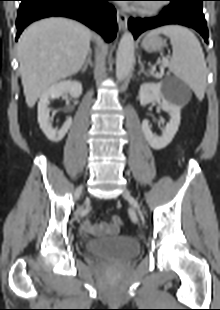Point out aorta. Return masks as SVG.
<instances>
[{
  "label": "aorta",
  "instance_id": "762f6f07",
  "mask_svg": "<svg viewBox=\"0 0 220 310\" xmlns=\"http://www.w3.org/2000/svg\"><path fill=\"white\" fill-rule=\"evenodd\" d=\"M134 61V38L131 32L123 34L116 56V78L122 81L129 74Z\"/></svg>",
  "mask_w": 220,
  "mask_h": 310
}]
</instances>
